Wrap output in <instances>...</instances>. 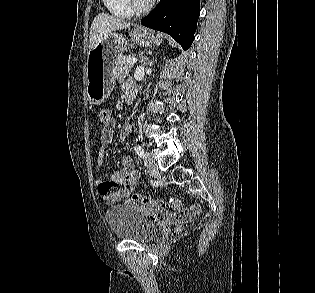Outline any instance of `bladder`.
<instances>
[{"label":"bladder","instance_id":"31cf9c89","mask_svg":"<svg viewBox=\"0 0 315 293\" xmlns=\"http://www.w3.org/2000/svg\"><path fill=\"white\" fill-rule=\"evenodd\" d=\"M105 217L112 234L120 240L149 242L158 232L147 214L135 206H113Z\"/></svg>","mask_w":315,"mask_h":293}]
</instances>
